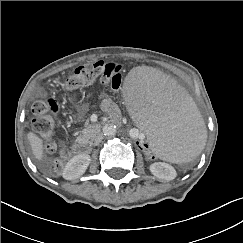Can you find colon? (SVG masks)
<instances>
[{
    "label": "colon",
    "instance_id": "obj_1",
    "mask_svg": "<svg viewBox=\"0 0 243 243\" xmlns=\"http://www.w3.org/2000/svg\"><path fill=\"white\" fill-rule=\"evenodd\" d=\"M99 80L102 84L113 90H118L122 84L121 65L116 62L105 63L103 61L84 64L76 68L73 75L66 81L68 90H77L79 88L89 86ZM60 110L59 102L50 95H45L42 99L36 101L32 106L34 119L32 121L34 129L43 134L48 135L54 129V120L51 115L58 114ZM125 141L138 150H143L146 161L150 164L157 165L160 162L159 157L152 153L149 143L141 140H134L132 136L131 119H124ZM46 151L50 155H54L57 146L54 142L46 144ZM65 154L57 158L54 162L56 171H60L63 167Z\"/></svg>",
    "mask_w": 243,
    "mask_h": 243
}]
</instances>
